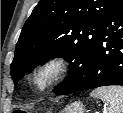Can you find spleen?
Returning a JSON list of instances; mask_svg holds the SVG:
<instances>
[{"label": "spleen", "mask_w": 123, "mask_h": 113, "mask_svg": "<svg viewBox=\"0 0 123 113\" xmlns=\"http://www.w3.org/2000/svg\"><path fill=\"white\" fill-rule=\"evenodd\" d=\"M91 96L107 103V113H123V87L106 86L95 89Z\"/></svg>", "instance_id": "obj_1"}]
</instances>
